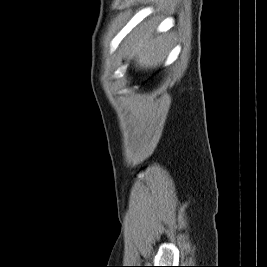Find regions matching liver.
<instances>
[{"instance_id":"obj_1","label":"liver","mask_w":267,"mask_h":267,"mask_svg":"<svg viewBox=\"0 0 267 267\" xmlns=\"http://www.w3.org/2000/svg\"><path fill=\"white\" fill-rule=\"evenodd\" d=\"M156 22L157 18L151 19L126 41V56L136 62V67L155 68L163 63L168 54L167 35L158 33Z\"/></svg>"}]
</instances>
